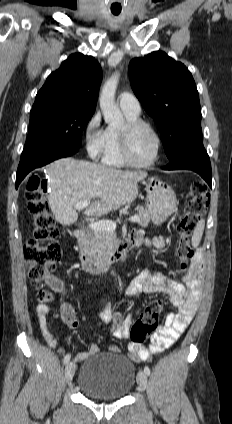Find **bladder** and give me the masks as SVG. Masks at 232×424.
I'll use <instances>...</instances> for the list:
<instances>
[{
  "label": "bladder",
  "instance_id": "31cf9c89",
  "mask_svg": "<svg viewBox=\"0 0 232 424\" xmlns=\"http://www.w3.org/2000/svg\"><path fill=\"white\" fill-rule=\"evenodd\" d=\"M136 381L135 366L120 353H99L83 362L78 388L96 399H122Z\"/></svg>",
  "mask_w": 232,
  "mask_h": 424
}]
</instances>
